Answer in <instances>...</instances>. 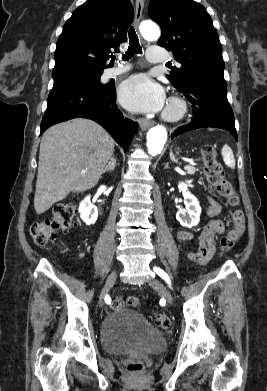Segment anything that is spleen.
Masks as SVG:
<instances>
[{"label":"spleen","mask_w":267,"mask_h":391,"mask_svg":"<svg viewBox=\"0 0 267 391\" xmlns=\"http://www.w3.org/2000/svg\"><path fill=\"white\" fill-rule=\"evenodd\" d=\"M221 154L226 166L231 169H235V158L232 149L227 144L223 146ZM170 158L172 161H175V157L172 152H170Z\"/></svg>","instance_id":"spleen-1"}]
</instances>
